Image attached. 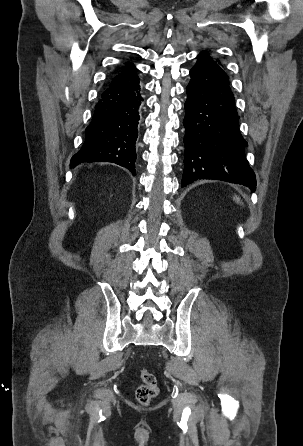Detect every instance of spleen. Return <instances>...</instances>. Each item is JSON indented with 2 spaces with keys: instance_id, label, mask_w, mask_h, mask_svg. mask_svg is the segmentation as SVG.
<instances>
[{
  "instance_id": "obj_1",
  "label": "spleen",
  "mask_w": 303,
  "mask_h": 446,
  "mask_svg": "<svg viewBox=\"0 0 303 446\" xmlns=\"http://www.w3.org/2000/svg\"><path fill=\"white\" fill-rule=\"evenodd\" d=\"M234 200L237 202V203H239L240 202V198L239 197H237V196H235L234 197Z\"/></svg>"
}]
</instances>
